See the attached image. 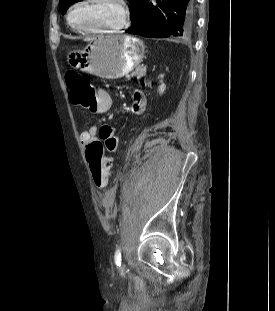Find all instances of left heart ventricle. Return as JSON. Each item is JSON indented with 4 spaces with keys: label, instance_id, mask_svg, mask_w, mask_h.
<instances>
[{
    "label": "left heart ventricle",
    "instance_id": "1",
    "mask_svg": "<svg viewBox=\"0 0 275 311\" xmlns=\"http://www.w3.org/2000/svg\"><path fill=\"white\" fill-rule=\"evenodd\" d=\"M119 9L108 0H90L76 7L70 16L73 25L78 27H99L118 21Z\"/></svg>",
    "mask_w": 275,
    "mask_h": 311
}]
</instances>
